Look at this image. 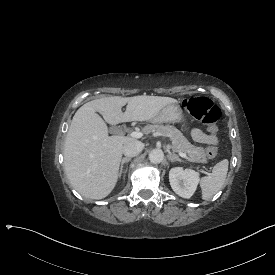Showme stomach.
Instances as JSON below:
<instances>
[{
	"label": "stomach",
	"instance_id": "obj_1",
	"mask_svg": "<svg viewBox=\"0 0 275 275\" xmlns=\"http://www.w3.org/2000/svg\"><path fill=\"white\" fill-rule=\"evenodd\" d=\"M183 120L182 109L177 103H170L163 107L150 121L152 123H174Z\"/></svg>",
	"mask_w": 275,
	"mask_h": 275
}]
</instances>
